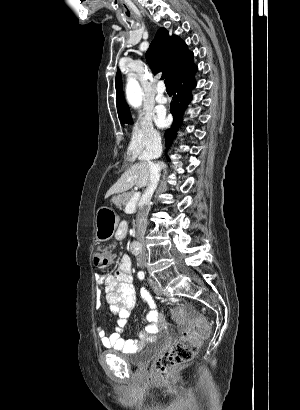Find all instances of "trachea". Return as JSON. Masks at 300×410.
I'll list each match as a JSON object with an SVG mask.
<instances>
[{
	"label": "trachea",
	"mask_w": 300,
	"mask_h": 410,
	"mask_svg": "<svg viewBox=\"0 0 300 410\" xmlns=\"http://www.w3.org/2000/svg\"><path fill=\"white\" fill-rule=\"evenodd\" d=\"M165 86H166V90L167 91H172V86H171V82L169 79H165L164 80Z\"/></svg>",
	"instance_id": "3493384b"
}]
</instances>
